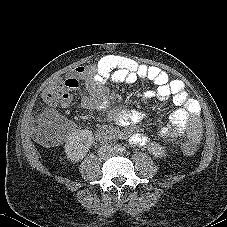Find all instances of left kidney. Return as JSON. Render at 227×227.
Here are the masks:
<instances>
[{
	"mask_svg": "<svg viewBox=\"0 0 227 227\" xmlns=\"http://www.w3.org/2000/svg\"><path fill=\"white\" fill-rule=\"evenodd\" d=\"M150 151L152 152V154L155 157H165L166 156V151L164 150V148H162V146L158 145V144H153L150 147Z\"/></svg>",
	"mask_w": 227,
	"mask_h": 227,
	"instance_id": "1",
	"label": "left kidney"
}]
</instances>
